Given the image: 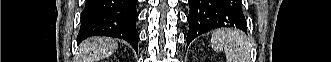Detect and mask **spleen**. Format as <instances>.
Here are the masks:
<instances>
[{
	"mask_svg": "<svg viewBox=\"0 0 331 62\" xmlns=\"http://www.w3.org/2000/svg\"><path fill=\"white\" fill-rule=\"evenodd\" d=\"M212 47L223 51L227 62H250V46L246 35L239 30H217L212 34Z\"/></svg>",
	"mask_w": 331,
	"mask_h": 62,
	"instance_id": "1",
	"label": "spleen"
}]
</instances>
